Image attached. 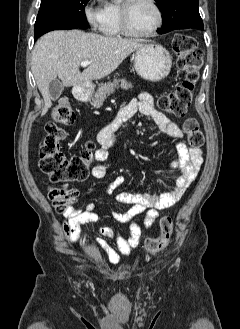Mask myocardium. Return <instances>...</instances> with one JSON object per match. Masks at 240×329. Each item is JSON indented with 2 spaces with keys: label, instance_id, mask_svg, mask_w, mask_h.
Returning <instances> with one entry per match:
<instances>
[{
  "label": "myocardium",
  "instance_id": "1",
  "mask_svg": "<svg viewBox=\"0 0 240 329\" xmlns=\"http://www.w3.org/2000/svg\"><path fill=\"white\" fill-rule=\"evenodd\" d=\"M136 1L137 0H121V4H120L121 30L123 34L128 37H137V38L150 37L154 35L161 28L164 20L163 11L156 0H148L156 11L157 21L155 25L148 31L145 32L134 31L130 26V11L133 4Z\"/></svg>",
  "mask_w": 240,
  "mask_h": 329
}]
</instances>
